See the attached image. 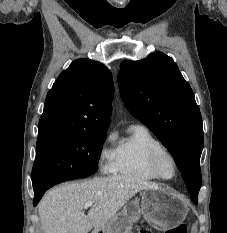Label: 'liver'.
Here are the masks:
<instances>
[{"instance_id": "1", "label": "liver", "mask_w": 227, "mask_h": 233, "mask_svg": "<svg viewBox=\"0 0 227 233\" xmlns=\"http://www.w3.org/2000/svg\"><path fill=\"white\" fill-rule=\"evenodd\" d=\"M158 185L128 176L94 178L81 183L59 186L49 191L38 205L44 233L97 232L135 194ZM92 201L88 214L83 211Z\"/></svg>"}]
</instances>
